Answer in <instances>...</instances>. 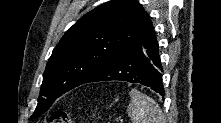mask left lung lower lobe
I'll use <instances>...</instances> for the list:
<instances>
[{
  "label": "left lung lower lobe",
  "mask_w": 221,
  "mask_h": 123,
  "mask_svg": "<svg viewBox=\"0 0 221 123\" xmlns=\"http://www.w3.org/2000/svg\"><path fill=\"white\" fill-rule=\"evenodd\" d=\"M158 42L151 25L140 38L95 72L85 83L122 80L140 83L164 96Z\"/></svg>",
  "instance_id": "0a47b994"
}]
</instances>
